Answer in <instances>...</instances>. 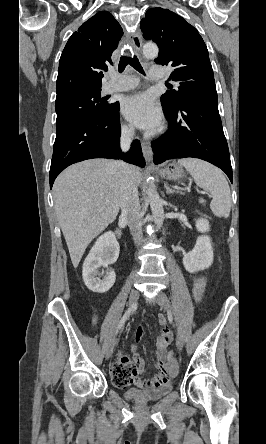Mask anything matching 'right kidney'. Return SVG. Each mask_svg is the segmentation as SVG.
<instances>
[{
  "mask_svg": "<svg viewBox=\"0 0 266 444\" xmlns=\"http://www.w3.org/2000/svg\"><path fill=\"white\" fill-rule=\"evenodd\" d=\"M120 247L113 232L109 231L101 235L91 248L83 264V280L85 285L93 292L105 293L115 283L116 275L114 271H109L100 280L98 269L108 267L115 263L119 257Z\"/></svg>",
  "mask_w": 266,
  "mask_h": 444,
  "instance_id": "right-kidney-1",
  "label": "right kidney"
}]
</instances>
